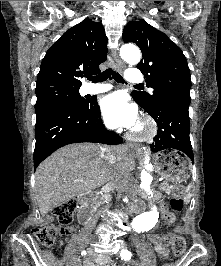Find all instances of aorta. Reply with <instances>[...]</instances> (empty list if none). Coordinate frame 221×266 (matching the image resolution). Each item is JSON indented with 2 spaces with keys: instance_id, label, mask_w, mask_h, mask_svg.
<instances>
[{
  "instance_id": "1",
  "label": "aorta",
  "mask_w": 221,
  "mask_h": 266,
  "mask_svg": "<svg viewBox=\"0 0 221 266\" xmlns=\"http://www.w3.org/2000/svg\"><path fill=\"white\" fill-rule=\"evenodd\" d=\"M120 55L124 61L131 65H136L140 62L141 54L139 49L134 45H123L120 49ZM144 150H146L144 148ZM148 151V149H147ZM149 156L145 157V170L141 172V188L145 190L148 195L152 196L151 183L152 176L148 172L152 169V165L149 163ZM158 218V213L156 208L153 207L151 212H144L139 214L133 219L131 228L135 232L147 231L156 223Z\"/></svg>"
}]
</instances>
